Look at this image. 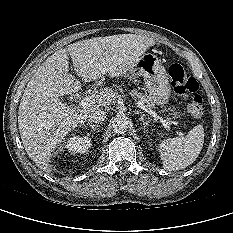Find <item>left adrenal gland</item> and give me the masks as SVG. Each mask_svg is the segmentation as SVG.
Listing matches in <instances>:
<instances>
[{"instance_id":"a2214340","label":"left adrenal gland","mask_w":233,"mask_h":233,"mask_svg":"<svg viewBox=\"0 0 233 233\" xmlns=\"http://www.w3.org/2000/svg\"><path fill=\"white\" fill-rule=\"evenodd\" d=\"M135 114H140V121L143 123V126L145 127L147 125V121H145V114L139 111H135Z\"/></svg>"}]
</instances>
